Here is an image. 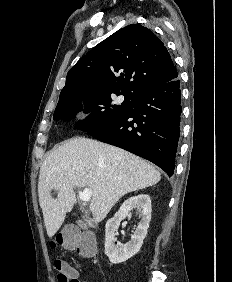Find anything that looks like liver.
I'll use <instances>...</instances> for the list:
<instances>
[{
	"label": "liver",
	"mask_w": 232,
	"mask_h": 282,
	"mask_svg": "<svg viewBox=\"0 0 232 282\" xmlns=\"http://www.w3.org/2000/svg\"><path fill=\"white\" fill-rule=\"evenodd\" d=\"M160 172L123 149L85 137L67 140L44 160L38 195L48 237H53L77 201L75 188L92 191L90 211L102 221L127 193L155 185ZM52 190L57 197H52Z\"/></svg>",
	"instance_id": "liver-1"
}]
</instances>
